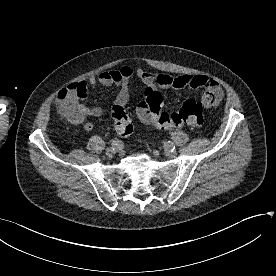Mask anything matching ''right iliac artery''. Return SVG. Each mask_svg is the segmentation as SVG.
Returning a JSON list of instances; mask_svg holds the SVG:
<instances>
[{
    "label": "right iliac artery",
    "instance_id": "obj_1",
    "mask_svg": "<svg viewBox=\"0 0 276 276\" xmlns=\"http://www.w3.org/2000/svg\"><path fill=\"white\" fill-rule=\"evenodd\" d=\"M112 145L120 148L123 146L119 140H113Z\"/></svg>",
    "mask_w": 276,
    "mask_h": 276
}]
</instances>
